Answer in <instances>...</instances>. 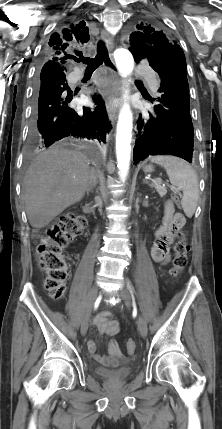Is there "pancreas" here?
<instances>
[{
	"label": "pancreas",
	"mask_w": 222,
	"mask_h": 429,
	"mask_svg": "<svg viewBox=\"0 0 222 429\" xmlns=\"http://www.w3.org/2000/svg\"><path fill=\"white\" fill-rule=\"evenodd\" d=\"M151 186L154 187L157 190L158 194L161 197H164L166 195L167 188L165 186H161L160 184H155V183L152 184Z\"/></svg>",
	"instance_id": "obj_1"
}]
</instances>
